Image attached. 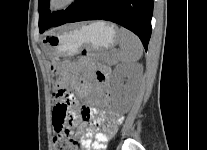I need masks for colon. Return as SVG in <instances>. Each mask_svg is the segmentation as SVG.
I'll list each match as a JSON object with an SVG mask.
<instances>
[{"mask_svg":"<svg viewBox=\"0 0 207 150\" xmlns=\"http://www.w3.org/2000/svg\"><path fill=\"white\" fill-rule=\"evenodd\" d=\"M55 107L49 122H53L52 131L54 150H79L82 144L81 132H73L70 128V111H74V100L71 87H58L54 94Z\"/></svg>","mask_w":207,"mask_h":150,"instance_id":"obj_1","label":"colon"}]
</instances>
